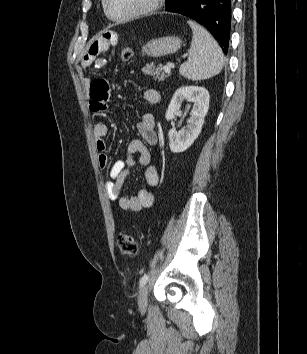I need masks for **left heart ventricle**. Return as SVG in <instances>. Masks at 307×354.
I'll return each instance as SVG.
<instances>
[{"label":"left heart ventricle","instance_id":"obj_1","mask_svg":"<svg viewBox=\"0 0 307 354\" xmlns=\"http://www.w3.org/2000/svg\"><path fill=\"white\" fill-rule=\"evenodd\" d=\"M149 0H108L110 13L114 16L131 14L148 3Z\"/></svg>","mask_w":307,"mask_h":354}]
</instances>
